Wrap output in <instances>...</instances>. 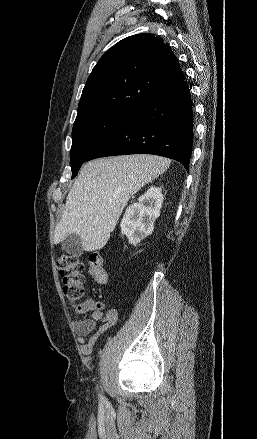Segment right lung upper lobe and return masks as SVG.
<instances>
[{
  "mask_svg": "<svg viewBox=\"0 0 257 439\" xmlns=\"http://www.w3.org/2000/svg\"><path fill=\"white\" fill-rule=\"evenodd\" d=\"M179 62L163 40L150 33L127 37L93 68L78 105V115L132 114L161 92L182 82Z\"/></svg>",
  "mask_w": 257,
  "mask_h": 439,
  "instance_id": "1",
  "label": "right lung upper lobe"
}]
</instances>
